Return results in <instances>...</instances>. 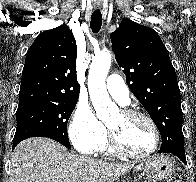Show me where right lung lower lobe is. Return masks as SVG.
Listing matches in <instances>:
<instances>
[{
	"mask_svg": "<svg viewBox=\"0 0 196 182\" xmlns=\"http://www.w3.org/2000/svg\"><path fill=\"white\" fill-rule=\"evenodd\" d=\"M42 137H48V138H51V139H54L56 141H58V139L56 137H53V136H42ZM59 142V141H58ZM18 143L16 144H13V148L17 145Z\"/></svg>",
	"mask_w": 196,
	"mask_h": 182,
	"instance_id": "right-lung-lower-lobe-1",
	"label": "right lung lower lobe"
}]
</instances>
